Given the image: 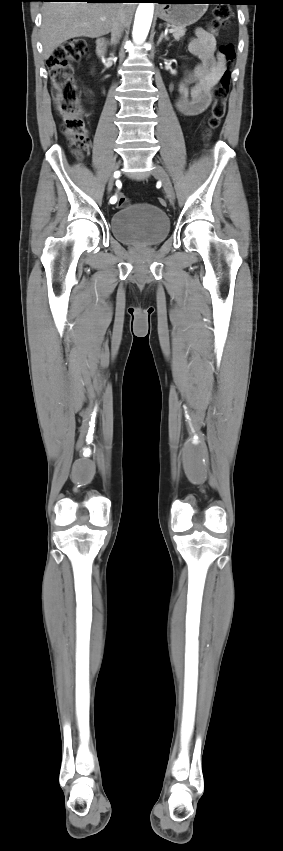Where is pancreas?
Instances as JSON below:
<instances>
[{
    "label": "pancreas",
    "mask_w": 283,
    "mask_h": 851,
    "mask_svg": "<svg viewBox=\"0 0 283 851\" xmlns=\"http://www.w3.org/2000/svg\"><path fill=\"white\" fill-rule=\"evenodd\" d=\"M168 27H171V29H173L172 35H173L174 39L177 40V41H179L185 35V32H186L185 27L176 26V25H168Z\"/></svg>",
    "instance_id": "cf45deb5"
}]
</instances>
